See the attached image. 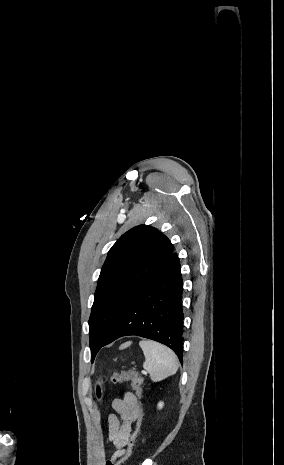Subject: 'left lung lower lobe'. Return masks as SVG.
I'll return each mask as SVG.
<instances>
[{"label":"left lung lower lobe","mask_w":284,"mask_h":465,"mask_svg":"<svg viewBox=\"0 0 284 465\" xmlns=\"http://www.w3.org/2000/svg\"><path fill=\"white\" fill-rule=\"evenodd\" d=\"M182 291L180 262L173 252L125 306L103 346L123 336H141L168 346L182 363Z\"/></svg>","instance_id":"0a47b994"}]
</instances>
